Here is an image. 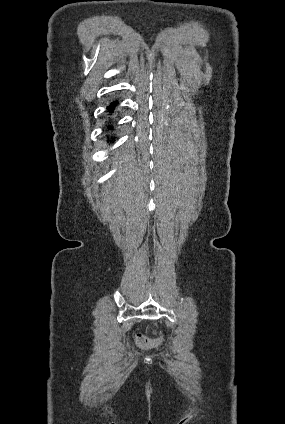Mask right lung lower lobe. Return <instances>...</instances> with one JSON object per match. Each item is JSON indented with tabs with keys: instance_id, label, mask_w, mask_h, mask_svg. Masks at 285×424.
I'll return each mask as SVG.
<instances>
[{
	"instance_id": "obj_1",
	"label": "right lung lower lobe",
	"mask_w": 285,
	"mask_h": 424,
	"mask_svg": "<svg viewBox=\"0 0 285 424\" xmlns=\"http://www.w3.org/2000/svg\"><path fill=\"white\" fill-rule=\"evenodd\" d=\"M118 104V102L116 101H114V102H112L111 104H110V106H108L107 107V109H108V111L111 113V112H113V110H114V108H115V106ZM109 128V130H111L112 129V126H109L108 127Z\"/></svg>"
}]
</instances>
